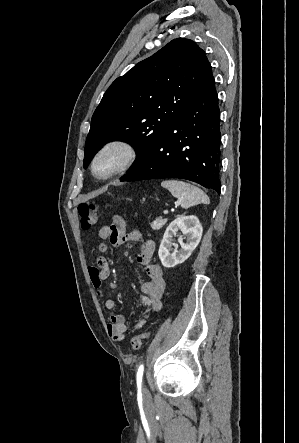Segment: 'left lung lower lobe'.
Listing matches in <instances>:
<instances>
[{"instance_id": "1", "label": "left lung lower lobe", "mask_w": 299, "mask_h": 443, "mask_svg": "<svg viewBox=\"0 0 299 443\" xmlns=\"http://www.w3.org/2000/svg\"><path fill=\"white\" fill-rule=\"evenodd\" d=\"M220 114L214 78L120 181L182 178L220 193Z\"/></svg>"}]
</instances>
